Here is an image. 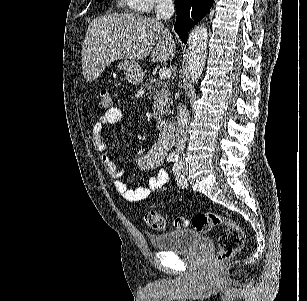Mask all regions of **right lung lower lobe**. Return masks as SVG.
Returning a JSON list of instances; mask_svg holds the SVG:
<instances>
[{"mask_svg": "<svg viewBox=\"0 0 307 301\" xmlns=\"http://www.w3.org/2000/svg\"><path fill=\"white\" fill-rule=\"evenodd\" d=\"M213 0H176V23L174 30L181 40L187 42V33L209 12Z\"/></svg>", "mask_w": 307, "mask_h": 301, "instance_id": "98d812e1", "label": "right lung lower lobe"}]
</instances>
